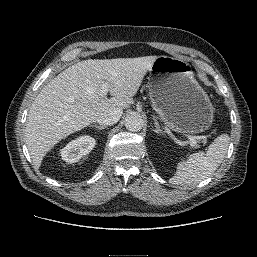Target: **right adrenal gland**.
<instances>
[{"instance_id": "obj_1", "label": "right adrenal gland", "mask_w": 257, "mask_h": 257, "mask_svg": "<svg viewBox=\"0 0 257 257\" xmlns=\"http://www.w3.org/2000/svg\"><path fill=\"white\" fill-rule=\"evenodd\" d=\"M91 127H95L99 130H103V129L107 128V126H98V125H91Z\"/></svg>"}]
</instances>
